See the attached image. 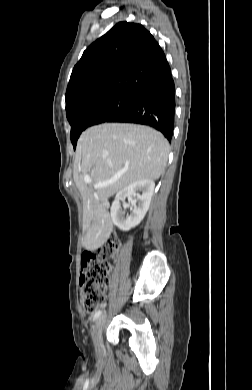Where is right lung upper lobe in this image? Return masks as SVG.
Wrapping results in <instances>:
<instances>
[{
    "label": "right lung upper lobe",
    "mask_w": 252,
    "mask_h": 390,
    "mask_svg": "<svg viewBox=\"0 0 252 390\" xmlns=\"http://www.w3.org/2000/svg\"><path fill=\"white\" fill-rule=\"evenodd\" d=\"M171 74L164 52L141 24L120 22L92 43L73 68L66 113L88 102L133 95Z\"/></svg>",
    "instance_id": "1"
}]
</instances>
